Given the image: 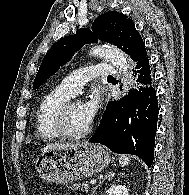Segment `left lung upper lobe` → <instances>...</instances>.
<instances>
[{
    "label": "left lung upper lobe",
    "instance_id": "5c2ea615",
    "mask_svg": "<svg viewBox=\"0 0 189 195\" xmlns=\"http://www.w3.org/2000/svg\"><path fill=\"white\" fill-rule=\"evenodd\" d=\"M98 39L119 47L130 56L135 64L147 57L144 42L134 22L122 13L109 11L93 22L92 29H79L74 35L57 41L48 50L33 82V89L40 87L84 44L95 43Z\"/></svg>",
    "mask_w": 189,
    "mask_h": 195
}]
</instances>
